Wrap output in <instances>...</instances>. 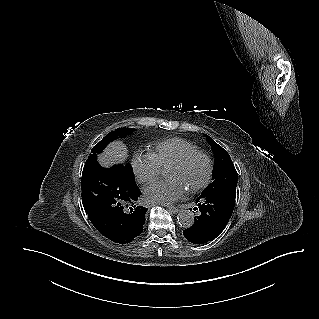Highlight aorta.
<instances>
[{
	"label": "aorta",
	"instance_id": "aorta-1",
	"mask_svg": "<svg viewBox=\"0 0 319 319\" xmlns=\"http://www.w3.org/2000/svg\"><path fill=\"white\" fill-rule=\"evenodd\" d=\"M177 222L180 226L188 228L194 223V213L190 210L183 209L178 213Z\"/></svg>",
	"mask_w": 319,
	"mask_h": 319
}]
</instances>
